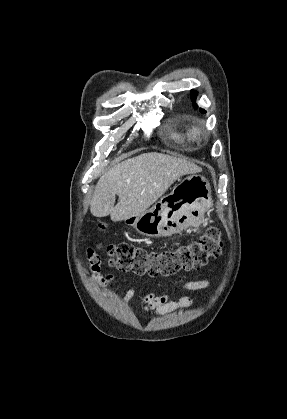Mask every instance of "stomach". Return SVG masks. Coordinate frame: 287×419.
I'll list each match as a JSON object with an SVG mask.
<instances>
[{
  "mask_svg": "<svg viewBox=\"0 0 287 419\" xmlns=\"http://www.w3.org/2000/svg\"><path fill=\"white\" fill-rule=\"evenodd\" d=\"M208 180L192 174L181 180L170 194L160 198L142 214L125 218V224L148 237H170L201 220L211 206Z\"/></svg>",
  "mask_w": 287,
  "mask_h": 419,
  "instance_id": "0dacf381",
  "label": "stomach"
}]
</instances>
